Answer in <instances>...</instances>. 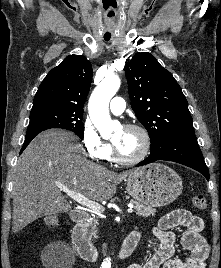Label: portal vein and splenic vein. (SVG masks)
I'll return each mask as SVG.
<instances>
[{"mask_svg": "<svg viewBox=\"0 0 221 268\" xmlns=\"http://www.w3.org/2000/svg\"><path fill=\"white\" fill-rule=\"evenodd\" d=\"M57 187L65 192L70 198H72L73 200L77 201L78 203H80L81 205H84L90 209H92L93 211L97 212V213H101L104 211V208L102 205H100L99 203L92 201L90 199H88L87 197H85L84 195H82L81 193L72 191L70 189H68L67 187L61 185V184H57ZM128 213H132L133 212V205H129V208L127 210Z\"/></svg>", "mask_w": 221, "mask_h": 268, "instance_id": "18ae733b", "label": "portal vein and splenic vein"}]
</instances>
